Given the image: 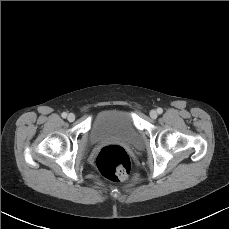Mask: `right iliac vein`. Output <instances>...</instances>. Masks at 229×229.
I'll use <instances>...</instances> for the list:
<instances>
[{"mask_svg":"<svg viewBox=\"0 0 229 229\" xmlns=\"http://www.w3.org/2000/svg\"><path fill=\"white\" fill-rule=\"evenodd\" d=\"M67 119L70 121V122H73L75 120V115L73 113H70L68 116H67Z\"/></svg>","mask_w":229,"mask_h":229,"instance_id":"right-iliac-vein-1","label":"right iliac vein"}]
</instances>
